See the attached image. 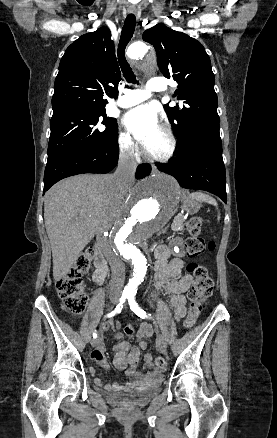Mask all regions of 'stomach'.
Listing matches in <instances>:
<instances>
[{
	"label": "stomach",
	"instance_id": "obj_1",
	"mask_svg": "<svg viewBox=\"0 0 277 438\" xmlns=\"http://www.w3.org/2000/svg\"><path fill=\"white\" fill-rule=\"evenodd\" d=\"M182 208L191 214H195L198 212L200 208V204L198 201L190 199L189 197L185 196L183 198Z\"/></svg>",
	"mask_w": 277,
	"mask_h": 438
}]
</instances>
